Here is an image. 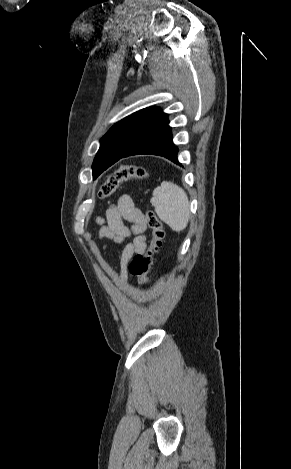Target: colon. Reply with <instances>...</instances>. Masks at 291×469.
Instances as JSON below:
<instances>
[{
  "instance_id": "obj_1",
  "label": "colon",
  "mask_w": 291,
  "mask_h": 469,
  "mask_svg": "<svg viewBox=\"0 0 291 469\" xmlns=\"http://www.w3.org/2000/svg\"><path fill=\"white\" fill-rule=\"evenodd\" d=\"M148 177L144 167L136 164H123L110 172L99 189V196H111L119 186L129 180H144ZM146 221L151 229V240L148 248L142 254L135 255L129 264L130 274L139 284H147L150 280V269L155 254L163 244L165 236L162 221L152 210H147Z\"/></svg>"
}]
</instances>
